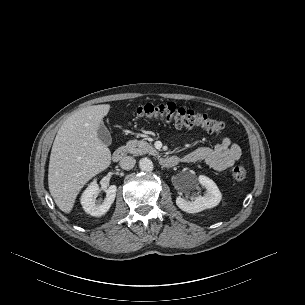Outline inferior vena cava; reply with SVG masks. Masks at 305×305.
Instances as JSON below:
<instances>
[{"label": "inferior vena cava", "instance_id": "602c4592", "mask_svg": "<svg viewBox=\"0 0 305 305\" xmlns=\"http://www.w3.org/2000/svg\"><path fill=\"white\" fill-rule=\"evenodd\" d=\"M135 163L136 160L131 156H125L119 162L120 167L124 170L132 169L135 166Z\"/></svg>", "mask_w": 305, "mask_h": 305}]
</instances>
